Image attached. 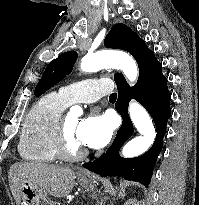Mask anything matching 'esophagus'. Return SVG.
<instances>
[{
    "label": "esophagus",
    "instance_id": "obj_1",
    "mask_svg": "<svg viewBox=\"0 0 199 205\" xmlns=\"http://www.w3.org/2000/svg\"><path fill=\"white\" fill-rule=\"evenodd\" d=\"M80 174H81L82 176H87V177H90V176H91V174L88 173V172H86V171H81Z\"/></svg>",
    "mask_w": 199,
    "mask_h": 205
}]
</instances>
